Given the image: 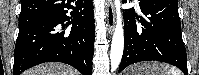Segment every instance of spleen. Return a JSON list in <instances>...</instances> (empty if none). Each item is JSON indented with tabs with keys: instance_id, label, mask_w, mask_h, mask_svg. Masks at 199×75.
I'll use <instances>...</instances> for the list:
<instances>
[{
	"instance_id": "3e777b00",
	"label": "spleen",
	"mask_w": 199,
	"mask_h": 75,
	"mask_svg": "<svg viewBox=\"0 0 199 75\" xmlns=\"http://www.w3.org/2000/svg\"><path fill=\"white\" fill-rule=\"evenodd\" d=\"M161 67L165 70L168 69V71L165 73L166 75H181L180 70L175 67H169L168 65H162Z\"/></svg>"
}]
</instances>
